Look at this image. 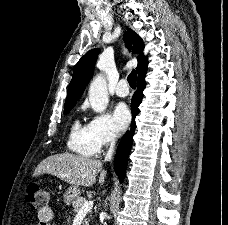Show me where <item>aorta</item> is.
Wrapping results in <instances>:
<instances>
[{
    "instance_id": "762f6f07",
    "label": "aorta",
    "mask_w": 228,
    "mask_h": 225,
    "mask_svg": "<svg viewBox=\"0 0 228 225\" xmlns=\"http://www.w3.org/2000/svg\"><path fill=\"white\" fill-rule=\"evenodd\" d=\"M89 100L95 113H103L109 102L107 82L102 74H97L89 86Z\"/></svg>"
}]
</instances>
